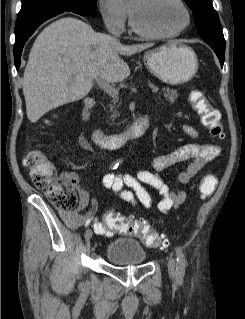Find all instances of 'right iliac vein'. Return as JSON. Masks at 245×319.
I'll return each instance as SVG.
<instances>
[{"instance_id":"1","label":"right iliac vein","mask_w":245,"mask_h":319,"mask_svg":"<svg viewBox=\"0 0 245 319\" xmlns=\"http://www.w3.org/2000/svg\"><path fill=\"white\" fill-rule=\"evenodd\" d=\"M91 236H92V232L90 230L86 231V233H85V240H86L85 252H86V254H89V252H90V243H89V241H90Z\"/></svg>"}]
</instances>
